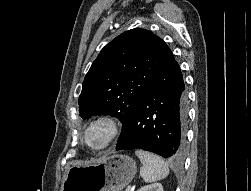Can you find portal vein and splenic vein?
<instances>
[{
	"instance_id": "portal-vein-and-splenic-vein-1",
	"label": "portal vein and splenic vein",
	"mask_w": 251,
	"mask_h": 191,
	"mask_svg": "<svg viewBox=\"0 0 251 191\" xmlns=\"http://www.w3.org/2000/svg\"><path fill=\"white\" fill-rule=\"evenodd\" d=\"M130 190H131L130 185H126V187H125V191H130Z\"/></svg>"
}]
</instances>
